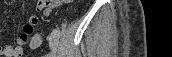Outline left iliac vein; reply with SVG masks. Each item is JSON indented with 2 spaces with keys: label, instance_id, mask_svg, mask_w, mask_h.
I'll return each instance as SVG.
<instances>
[{
  "label": "left iliac vein",
  "instance_id": "4c4485c4",
  "mask_svg": "<svg viewBox=\"0 0 172 57\" xmlns=\"http://www.w3.org/2000/svg\"><path fill=\"white\" fill-rule=\"evenodd\" d=\"M58 43H59L58 35H57V33L55 31H53L49 35V45H50V49L52 50L53 53H56Z\"/></svg>",
  "mask_w": 172,
  "mask_h": 57
}]
</instances>
